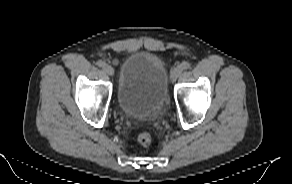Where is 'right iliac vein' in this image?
I'll return each mask as SVG.
<instances>
[{"label": "right iliac vein", "instance_id": "1", "mask_svg": "<svg viewBox=\"0 0 292 184\" xmlns=\"http://www.w3.org/2000/svg\"><path fill=\"white\" fill-rule=\"evenodd\" d=\"M103 71H104L107 75H110V76L114 75V69H113V67L110 66V65H107V64H106V65L103 67Z\"/></svg>", "mask_w": 292, "mask_h": 184}]
</instances>
